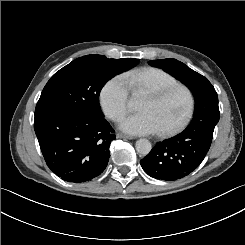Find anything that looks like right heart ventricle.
<instances>
[{
  "label": "right heart ventricle",
  "instance_id": "e07e8e85",
  "mask_svg": "<svg viewBox=\"0 0 245 245\" xmlns=\"http://www.w3.org/2000/svg\"><path fill=\"white\" fill-rule=\"evenodd\" d=\"M134 95H140L149 86L168 87L179 81L168 72L156 67H138L120 76Z\"/></svg>",
  "mask_w": 245,
  "mask_h": 245
}]
</instances>
